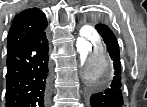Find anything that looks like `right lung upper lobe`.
<instances>
[{
  "mask_svg": "<svg viewBox=\"0 0 147 107\" xmlns=\"http://www.w3.org/2000/svg\"><path fill=\"white\" fill-rule=\"evenodd\" d=\"M47 27L45 14L37 9H25L13 21L8 33V50L16 48L36 35L43 32Z\"/></svg>",
  "mask_w": 147,
  "mask_h": 107,
  "instance_id": "cb5924a9",
  "label": "right lung upper lobe"
}]
</instances>
